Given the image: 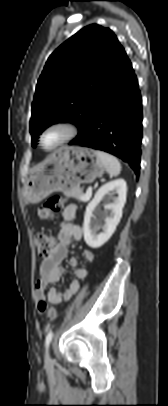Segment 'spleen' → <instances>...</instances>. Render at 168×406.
<instances>
[{"mask_svg":"<svg viewBox=\"0 0 168 406\" xmlns=\"http://www.w3.org/2000/svg\"><path fill=\"white\" fill-rule=\"evenodd\" d=\"M96 155L110 175L117 176L120 174L121 164L116 157L103 151H96Z\"/></svg>","mask_w":168,"mask_h":406,"instance_id":"3e777b00","label":"spleen"}]
</instances>
